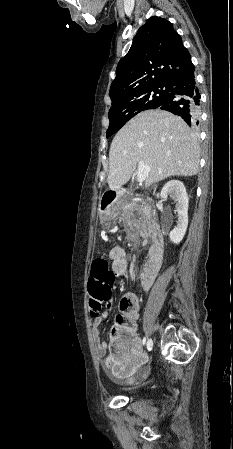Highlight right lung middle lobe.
Returning a JSON list of instances; mask_svg holds the SVG:
<instances>
[{"label":"right lung middle lobe","instance_id":"dd1d6c3e","mask_svg":"<svg viewBox=\"0 0 233 449\" xmlns=\"http://www.w3.org/2000/svg\"><path fill=\"white\" fill-rule=\"evenodd\" d=\"M167 94V84H154L112 99L109 110L110 124L106 137L113 135L139 112L158 107Z\"/></svg>","mask_w":233,"mask_h":449}]
</instances>
